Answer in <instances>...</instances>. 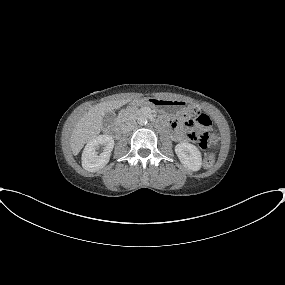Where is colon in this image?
I'll list each match as a JSON object with an SVG mask.
<instances>
[{"label":"colon","mask_w":285,"mask_h":285,"mask_svg":"<svg viewBox=\"0 0 285 285\" xmlns=\"http://www.w3.org/2000/svg\"><path fill=\"white\" fill-rule=\"evenodd\" d=\"M182 122L189 128L187 137L190 140L196 141L199 144V147L205 151L203 166L205 168L211 167L215 160L213 145L215 144L216 136L207 131L211 124L209 116L187 111L182 116Z\"/></svg>","instance_id":"colon-1"}]
</instances>
